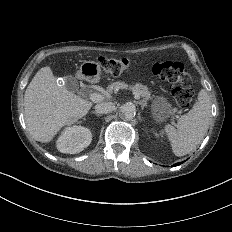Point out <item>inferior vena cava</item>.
I'll return each mask as SVG.
<instances>
[{"label": "inferior vena cava", "mask_w": 232, "mask_h": 232, "mask_svg": "<svg viewBox=\"0 0 232 232\" xmlns=\"http://www.w3.org/2000/svg\"><path fill=\"white\" fill-rule=\"evenodd\" d=\"M95 110L100 114H108L115 110V105L112 102H101L95 106Z\"/></svg>", "instance_id": "602c4592"}]
</instances>
